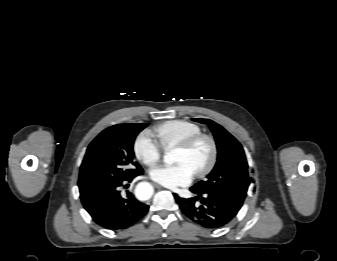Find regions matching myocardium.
I'll return each instance as SVG.
<instances>
[{
  "label": "myocardium",
  "instance_id": "obj_1",
  "mask_svg": "<svg viewBox=\"0 0 337 261\" xmlns=\"http://www.w3.org/2000/svg\"><path fill=\"white\" fill-rule=\"evenodd\" d=\"M206 141L210 145L211 155L208 163L205 167L194 172V175L198 178L207 176L215 167L218 160V144L215 138L209 134L200 133L192 136L177 146V149L184 151H190L194 149L199 143Z\"/></svg>",
  "mask_w": 337,
  "mask_h": 261
}]
</instances>
